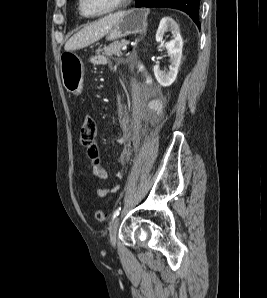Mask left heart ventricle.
Here are the masks:
<instances>
[{
  "label": "left heart ventricle",
  "mask_w": 267,
  "mask_h": 298,
  "mask_svg": "<svg viewBox=\"0 0 267 298\" xmlns=\"http://www.w3.org/2000/svg\"><path fill=\"white\" fill-rule=\"evenodd\" d=\"M118 0H83V8L89 14H98L112 8Z\"/></svg>",
  "instance_id": "left-heart-ventricle-1"
}]
</instances>
